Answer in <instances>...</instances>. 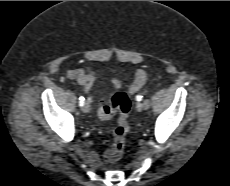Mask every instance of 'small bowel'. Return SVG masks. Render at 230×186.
I'll return each instance as SVG.
<instances>
[{"label":"small bowel","instance_id":"1","mask_svg":"<svg viewBox=\"0 0 230 186\" xmlns=\"http://www.w3.org/2000/svg\"><path fill=\"white\" fill-rule=\"evenodd\" d=\"M66 77L71 80H76L87 93L90 92L93 84L97 80V74L91 68H87L86 70L82 68L68 69L66 71ZM113 84L117 89L122 87V83L118 79H114Z\"/></svg>","mask_w":230,"mask_h":186}]
</instances>
